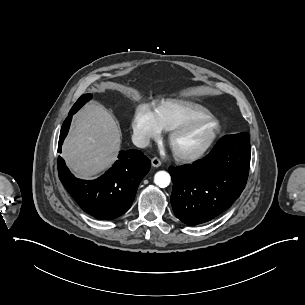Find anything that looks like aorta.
Masks as SVG:
<instances>
[{
    "label": "aorta",
    "instance_id": "1",
    "mask_svg": "<svg viewBox=\"0 0 305 305\" xmlns=\"http://www.w3.org/2000/svg\"><path fill=\"white\" fill-rule=\"evenodd\" d=\"M154 182L161 188L167 187L171 182L170 174L166 171H158L154 176Z\"/></svg>",
    "mask_w": 305,
    "mask_h": 305
}]
</instances>
